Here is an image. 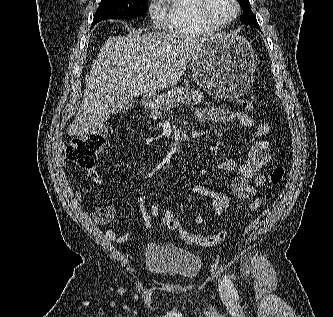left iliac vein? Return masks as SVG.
I'll return each mask as SVG.
<instances>
[{"instance_id": "obj_1", "label": "left iliac vein", "mask_w": 333, "mask_h": 317, "mask_svg": "<svg viewBox=\"0 0 333 317\" xmlns=\"http://www.w3.org/2000/svg\"><path fill=\"white\" fill-rule=\"evenodd\" d=\"M219 292L223 298L227 299L229 297L228 289L222 281L219 282Z\"/></svg>"}]
</instances>
